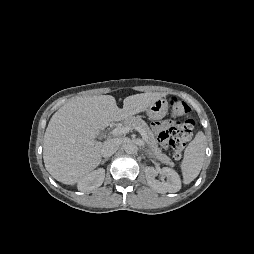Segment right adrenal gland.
<instances>
[{
	"label": "right adrenal gland",
	"mask_w": 254,
	"mask_h": 254,
	"mask_svg": "<svg viewBox=\"0 0 254 254\" xmlns=\"http://www.w3.org/2000/svg\"><path fill=\"white\" fill-rule=\"evenodd\" d=\"M107 160H108V159H104V160H102L101 163L104 164Z\"/></svg>",
	"instance_id": "1"
}]
</instances>
